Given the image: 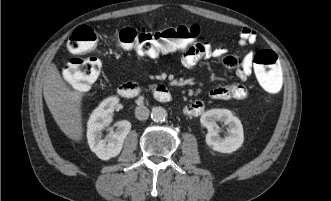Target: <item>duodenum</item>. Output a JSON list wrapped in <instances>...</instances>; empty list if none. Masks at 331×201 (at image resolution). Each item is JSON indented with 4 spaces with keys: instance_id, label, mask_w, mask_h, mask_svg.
I'll return each mask as SVG.
<instances>
[{
    "instance_id": "duodenum-1",
    "label": "duodenum",
    "mask_w": 331,
    "mask_h": 201,
    "mask_svg": "<svg viewBox=\"0 0 331 201\" xmlns=\"http://www.w3.org/2000/svg\"><path fill=\"white\" fill-rule=\"evenodd\" d=\"M140 90V86L137 83L125 82L118 87L117 92L123 98H134L139 95ZM153 96L162 103H168L172 98L167 87L163 84H157L153 87Z\"/></svg>"
}]
</instances>
